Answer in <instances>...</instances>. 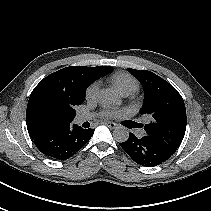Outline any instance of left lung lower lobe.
<instances>
[{"label": "left lung lower lobe", "instance_id": "1", "mask_svg": "<svg viewBox=\"0 0 211 211\" xmlns=\"http://www.w3.org/2000/svg\"><path fill=\"white\" fill-rule=\"evenodd\" d=\"M120 145L133 161L147 167L157 166L173 155L146 136L138 138L133 133H130L128 140Z\"/></svg>", "mask_w": 211, "mask_h": 211}]
</instances>
